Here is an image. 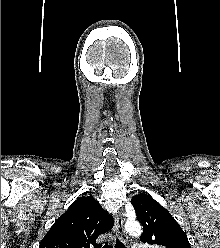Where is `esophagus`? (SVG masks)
I'll list each match as a JSON object with an SVG mask.
<instances>
[{
  "mask_svg": "<svg viewBox=\"0 0 220 248\" xmlns=\"http://www.w3.org/2000/svg\"><path fill=\"white\" fill-rule=\"evenodd\" d=\"M115 230L118 236L122 239H126V234L124 232V222H125V214L120 211L115 215Z\"/></svg>",
  "mask_w": 220,
  "mask_h": 248,
  "instance_id": "esophagus-1",
  "label": "esophagus"
}]
</instances>
